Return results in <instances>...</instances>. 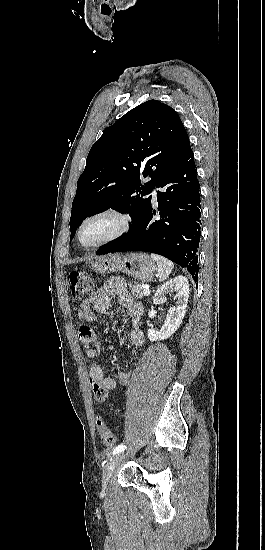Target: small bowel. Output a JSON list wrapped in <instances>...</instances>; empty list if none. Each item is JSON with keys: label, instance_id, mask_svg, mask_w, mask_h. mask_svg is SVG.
Listing matches in <instances>:
<instances>
[{"label": "small bowel", "instance_id": "1", "mask_svg": "<svg viewBox=\"0 0 265 550\" xmlns=\"http://www.w3.org/2000/svg\"><path fill=\"white\" fill-rule=\"evenodd\" d=\"M113 298H116L120 308L132 321L127 334L128 341L134 346L142 345L145 340L144 334L136 326V322L143 314V306L129 294L123 279L111 278L107 280L94 296L83 300L78 310L79 319L91 321L94 319V311L105 313L110 309ZM79 337L84 346L85 356L90 363L89 381L92 393V384L97 385L106 395L111 390L125 386L128 382V374L125 370L106 369L99 363L100 345L96 332L88 326H83L79 331Z\"/></svg>", "mask_w": 265, "mask_h": 550}]
</instances>
